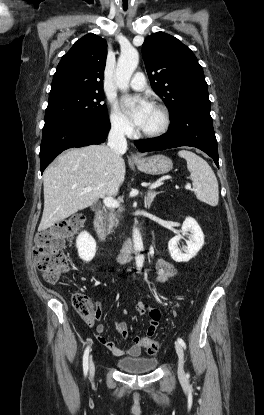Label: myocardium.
<instances>
[{
  "label": "myocardium",
  "mask_w": 264,
  "mask_h": 415,
  "mask_svg": "<svg viewBox=\"0 0 264 415\" xmlns=\"http://www.w3.org/2000/svg\"><path fill=\"white\" fill-rule=\"evenodd\" d=\"M152 107L158 109L161 113V124L160 126L154 130V131H138L136 133L137 136L139 137H144V138H156L159 137L161 135H163L169 128L170 124H171V115L169 113V110L167 109V107L159 102H154L152 104Z\"/></svg>",
  "instance_id": "f54148a6"
}]
</instances>
